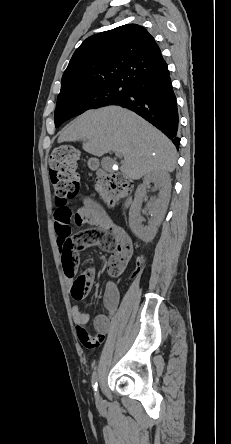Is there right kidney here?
I'll list each match as a JSON object with an SVG mask.
<instances>
[{"label":"right kidney","instance_id":"obj_1","mask_svg":"<svg viewBox=\"0 0 231 444\" xmlns=\"http://www.w3.org/2000/svg\"><path fill=\"white\" fill-rule=\"evenodd\" d=\"M153 182L159 189L157 199H152L148 203V209L153 218L148 225H142L143 218L140 215L143 197L146 195V188ZM171 193L170 175L164 171H154L143 178V182L138 186L134 201L129 212V226L132 232L142 241H151L156 233L157 227L162 223L168 207Z\"/></svg>","mask_w":231,"mask_h":444}]
</instances>
